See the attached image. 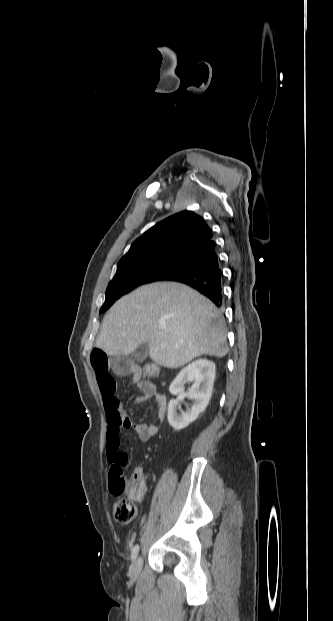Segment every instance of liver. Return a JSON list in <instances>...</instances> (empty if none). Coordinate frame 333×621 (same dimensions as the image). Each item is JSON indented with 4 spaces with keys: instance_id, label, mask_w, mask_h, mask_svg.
<instances>
[{
    "instance_id": "obj_1",
    "label": "liver",
    "mask_w": 333,
    "mask_h": 621,
    "mask_svg": "<svg viewBox=\"0 0 333 621\" xmlns=\"http://www.w3.org/2000/svg\"><path fill=\"white\" fill-rule=\"evenodd\" d=\"M148 342L158 365L178 368L201 355L224 357L227 334L220 311L192 288L175 282L142 286L119 299L102 322L96 347L128 356Z\"/></svg>"
}]
</instances>
